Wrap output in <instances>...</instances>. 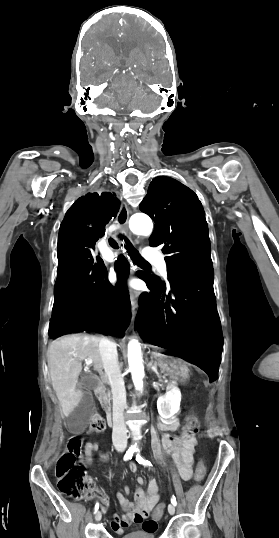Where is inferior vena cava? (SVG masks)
I'll use <instances>...</instances> for the list:
<instances>
[{
	"mask_svg": "<svg viewBox=\"0 0 279 538\" xmlns=\"http://www.w3.org/2000/svg\"><path fill=\"white\" fill-rule=\"evenodd\" d=\"M109 338V339H107ZM111 338V335L101 338L99 350L102 355V363L110 385L112 386L113 394V445L118 451H123L127 446V432H129L124 423L123 409L126 408V394L124 381L118 367V354L116 350V342ZM106 375V376H107Z\"/></svg>",
	"mask_w": 279,
	"mask_h": 538,
	"instance_id": "602c4592",
	"label": "inferior vena cava"
}]
</instances>
